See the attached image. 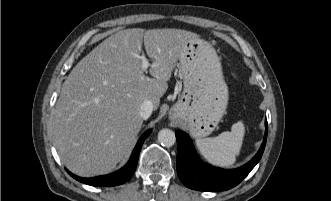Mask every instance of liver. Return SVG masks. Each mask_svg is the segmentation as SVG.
I'll list each match as a JSON object with an SVG mask.
<instances>
[{
    "instance_id": "liver-1",
    "label": "liver",
    "mask_w": 331,
    "mask_h": 201,
    "mask_svg": "<svg viewBox=\"0 0 331 201\" xmlns=\"http://www.w3.org/2000/svg\"><path fill=\"white\" fill-rule=\"evenodd\" d=\"M194 38L198 35L181 29H125L77 63L62 85L53 118L54 144L71 172L90 177L115 168L141 129V104L150 100L159 107L182 51ZM142 44L153 78L141 67Z\"/></svg>"
}]
</instances>
